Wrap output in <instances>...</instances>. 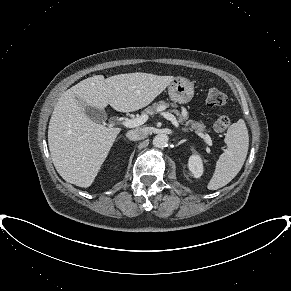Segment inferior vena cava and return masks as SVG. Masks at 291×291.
Listing matches in <instances>:
<instances>
[{"mask_svg":"<svg viewBox=\"0 0 291 291\" xmlns=\"http://www.w3.org/2000/svg\"><path fill=\"white\" fill-rule=\"evenodd\" d=\"M147 130L145 128H139L130 130L126 133V137L132 141L142 140L147 137Z\"/></svg>","mask_w":291,"mask_h":291,"instance_id":"obj_1","label":"inferior vena cava"}]
</instances>
